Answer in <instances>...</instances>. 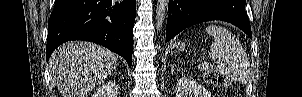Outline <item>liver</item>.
<instances>
[{
	"mask_svg": "<svg viewBox=\"0 0 302 97\" xmlns=\"http://www.w3.org/2000/svg\"><path fill=\"white\" fill-rule=\"evenodd\" d=\"M116 65L115 53L83 41L63 44L50 58L51 75L63 97H88Z\"/></svg>",
	"mask_w": 302,
	"mask_h": 97,
	"instance_id": "1",
	"label": "liver"
}]
</instances>
